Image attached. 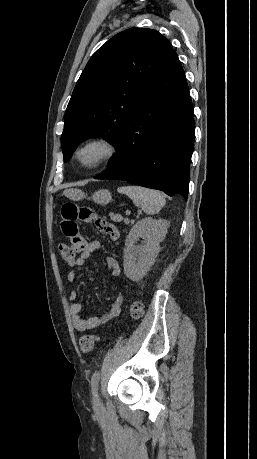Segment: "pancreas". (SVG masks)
I'll return each mask as SVG.
<instances>
[{
	"instance_id": "cf45deb5",
	"label": "pancreas",
	"mask_w": 257,
	"mask_h": 459,
	"mask_svg": "<svg viewBox=\"0 0 257 459\" xmlns=\"http://www.w3.org/2000/svg\"><path fill=\"white\" fill-rule=\"evenodd\" d=\"M110 218L111 220H113L114 222H120L123 218L121 215L119 214H114V213H110Z\"/></svg>"
}]
</instances>
